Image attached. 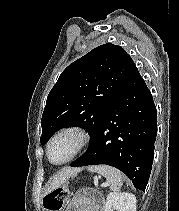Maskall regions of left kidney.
Wrapping results in <instances>:
<instances>
[{
    "label": "left kidney",
    "instance_id": "obj_1",
    "mask_svg": "<svg viewBox=\"0 0 179 211\" xmlns=\"http://www.w3.org/2000/svg\"><path fill=\"white\" fill-rule=\"evenodd\" d=\"M136 211V197L131 193H109L104 211Z\"/></svg>",
    "mask_w": 179,
    "mask_h": 211
}]
</instances>
